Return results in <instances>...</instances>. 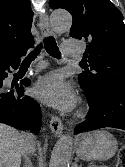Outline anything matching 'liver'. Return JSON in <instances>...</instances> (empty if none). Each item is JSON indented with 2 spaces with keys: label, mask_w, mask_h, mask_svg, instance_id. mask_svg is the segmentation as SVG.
I'll use <instances>...</instances> for the list:
<instances>
[{
  "label": "liver",
  "mask_w": 125,
  "mask_h": 167,
  "mask_svg": "<svg viewBox=\"0 0 125 167\" xmlns=\"http://www.w3.org/2000/svg\"><path fill=\"white\" fill-rule=\"evenodd\" d=\"M23 133L0 123V167H20Z\"/></svg>",
  "instance_id": "liver-1"
}]
</instances>
